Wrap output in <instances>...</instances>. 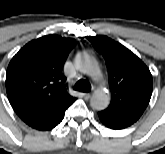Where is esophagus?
Returning <instances> with one entry per match:
<instances>
[{
    "label": "esophagus",
    "instance_id": "obj_1",
    "mask_svg": "<svg viewBox=\"0 0 165 154\" xmlns=\"http://www.w3.org/2000/svg\"><path fill=\"white\" fill-rule=\"evenodd\" d=\"M90 96H91V93H87V94H85V98H90Z\"/></svg>",
    "mask_w": 165,
    "mask_h": 154
}]
</instances>
